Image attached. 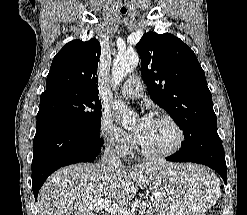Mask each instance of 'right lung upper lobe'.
Returning a JSON list of instances; mask_svg holds the SVG:
<instances>
[{
	"mask_svg": "<svg viewBox=\"0 0 247 215\" xmlns=\"http://www.w3.org/2000/svg\"><path fill=\"white\" fill-rule=\"evenodd\" d=\"M100 54V43L96 39L67 43L53 58L46 79V91L66 88L98 95L96 74Z\"/></svg>",
	"mask_w": 247,
	"mask_h": 215,
	"instance_id": "obj_1",
	"label": "right lung upper lobe"
}]
</instances>
